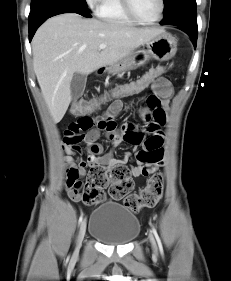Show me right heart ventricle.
I'll return each mask as SVG.
<instances>
[{
	"label": "right heart ventricle",
	"mask_w": 231,
	"mask_h": 281,
	"mask_svg": "<svg viewBox=\"0 0 231 281\" xmlns=\"http://www.w3.org/2000/svg\"><path fill=\"white\" fill-rule=\"evenodd\" d=\"M97 13L102 20L111 23L132 24L134 22L125 13L121 0H103Z\"/></svg>",
	"instance_id": "right-heart-ventricle-1"
}]
</instances>
